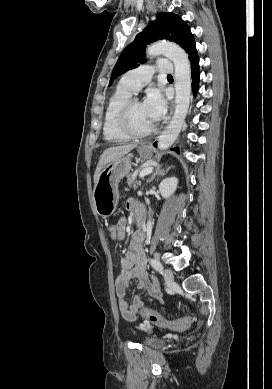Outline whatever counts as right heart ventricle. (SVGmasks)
Wrapping results in <instances>:
<instances>
[{"instance_id": "obj_1", "label": "right heart ventricle", "mask_w": 272, "mask_h": 389, "mask_svg": "<svg viewBox=\"0 0 272 389\" xmlns=\"http://www.w3.org/2000/svg\"><path fill=\"white\" fill-rule=\"evenodd\" d=\"M133 94L128 88L119 84L111 95L106 107L103 123V134L108 141L122 142L129 139L119 128L118 115L123 105Z\"/></svg>"}]
</instances>
